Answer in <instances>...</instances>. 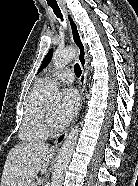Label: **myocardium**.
<instances>
[{"instance_id": "obj_1", "label": "myocardium", "mask_w": 138, "mask_h": 186, "mask_svg": "<svg viewBox=\"0 0 138 186\" xmlns=\"http://www.w3.org/2000/svg\"><path fill=\"white\" fill-rule=\"evenodd\" d=\"M44 121L48 129H51V130L55 129L53 117L49 114L47 109L45 111Z\"/></svg>"}]
</instances>
